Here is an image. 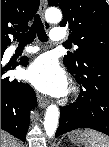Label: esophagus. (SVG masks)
<instances>
[{
    "mask_svg": "<svg viewBox=\"0 0 109 147\" xmlns=\"http://www.w3.org/2000/svg\"><path fill=\"white\" fill-rule=\"evenodd\" d=\"M46 5H47V1L46 0H40V6H39L38 13H39V15H40V17L42 19H44V12H45V9H46ZM44 26H45L46 30H50L51 26H50V24L48 22L44 21ZM37 98H38L39 106L41 108H45L48 105L49 100L46 97L38 94Z\"/></svg>",
    "mask_w": 109,
    "mask_h": 147,
    "instance_id": "34e87169",
    "label": "esophagus"
}]
</instances>
